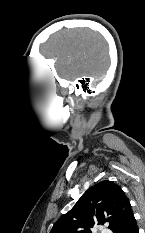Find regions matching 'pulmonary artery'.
<instances>
[{"label":"pulmonary artery","instance_id":"e3ab8cb5","mask_svg":"<svg viewBox=\"0 0 145 233\" xmlns=\"http://www.w3.org/2000/svg\"><path fill=\"white\" fill-rule=\"evenodd\" d=\"M100 233H111V231H109V230H107V229H102V230L100 231Z\"/></svg>","mask_w":145,"mask_h":233}]
</instances>
